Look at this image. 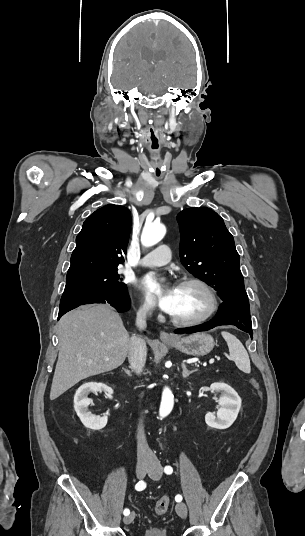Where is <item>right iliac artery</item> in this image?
<instances>
[{"label": "right iliac artery", "instance_id": "1", "mask_svg": "<svg viewBox=\"0 0 305 536\" xmlns=\"http://www.w3.org/2000/svg\"><path fill=\"white\" fill-rule=\"evenodd\" d=\"M145 487H146V483H145L144 481H139V482L135 485V489H136L137 491H142V490L145 489ZM129 513H130V510H129V509H125L124 512H123V514H124L125 516L129 515Z\"/></svg>", "mask_w": 305, "mask_h": 536}]
</instances>
